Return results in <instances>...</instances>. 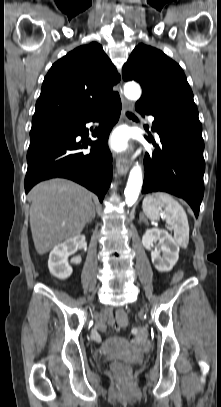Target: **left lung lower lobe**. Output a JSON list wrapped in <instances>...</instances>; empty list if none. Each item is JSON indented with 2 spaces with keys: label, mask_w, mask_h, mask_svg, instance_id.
<instances>
[{
  "label": "left lung lower lobe",
  "mask_w": 221,
  "mask_h": 407,
  "mask_svg": "<svg viewBox=\"0 0 221 407\" xmlns=\"http://www.w3.org/2000/svg\"><path fill=\"white\" fill-rule=\"evenodd\" d=\"M140 113L154 116L153 130L160 145L145 137L156 149L146 153L142 193L164 191L186 200L198 217L204 194V141L198 111L177 109L153 113L135 106Z\"/></svg>",
  "instance_id": "0a47b994"
}]
</instances>
